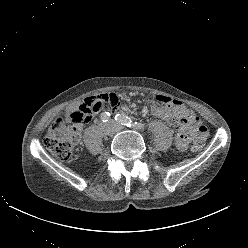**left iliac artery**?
<instances>
[{
	"mask_svg": "<svg viewBox=\"0 0 248 248\" xmlns=\"http://www.w3.org/2000/svg\"><path fill=\"white\" fill-rule=\"evenodd\" d=\"M115 120L121 125L127 127H133L136 129H144L146 127L144 123L133 121L130 117L126 116L125 114H117L115 116Z\"/></svg>",
	"mask_w": 248,
	"mask_h": 248,
	"instance_id": "left-iliac-artery-1",
	"label": "left iliac artery"
}]
</instances>
